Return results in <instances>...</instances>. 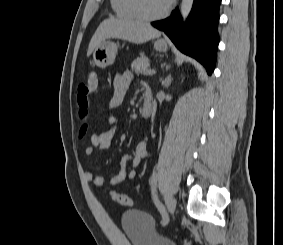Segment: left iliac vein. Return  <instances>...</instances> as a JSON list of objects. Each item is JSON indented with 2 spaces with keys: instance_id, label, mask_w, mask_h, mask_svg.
<instances>
[{
  "instance_id": "left-iliac-vein-1",
  "label": "left iliac vein",
  "mask_w": 283,
  "mask_h": 245,
  "mask_svg": "<svg viewBox=\"0 0 283 245\" xmlns=\"http://www.w3.org/2000/svg\"><path fill=\"white\" fill-rule=\"evenodd\" d=\"M165 201H166V206H167V211H168L166 223H165V225H166L169 221V215H172L175 211L176 201H175L174 197L172 195H169V194L166 195Z\"/></svg>"
}]
</instances>
